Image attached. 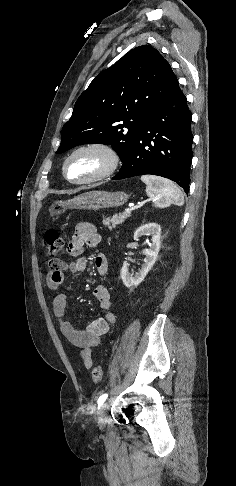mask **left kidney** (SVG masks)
Returning a JSON list of instances; mask_svg holds the SVG:
<instances>
[{"instance_id": "obj_1", "label": "left kidney", "mask_w": 236, "mask_h": 486, "mask_svg": "<svg viewBox=\"0 0 236 486\" xmlns=\"http://www.w3.org/2000/svg\"><path fill=\"white\" fill-rule=\"evenodd\" d=\"M143 235H150L151 236V244L149 249H145L143 251L144 255L146 256L144 259V264L142 265L141 270L136 273L135 275L129 272V265L127 261H124L122 269H121V278L126 287H133L138 286L146 277L147 273L153 267L158 252L160 249V235H161V227L156 223H147L139 227L134 233V240H138L139 237Z\"/></svg>"}]
</instances>
